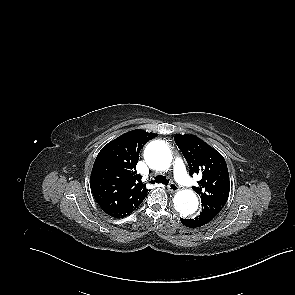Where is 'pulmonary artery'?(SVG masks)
<instances>
[{
	"label": "pulmonary artery",
	"instance_id": "e3ab8cb5",
	"mask_svg": "<svg viewBox=\"0 0 295 295\" xmlns=\"http://www.w3.org/2000/svg\"><path fill=\"white\" fill-rule=\"evenodd\" d=\"M173 171L175 179L183 186L191 187L193 181L189 177L184 162L181 158L177 157L173 163Z\"/></svg>",
	"mask_w": 295,
	"mask_h": 295
}]
</instances>
